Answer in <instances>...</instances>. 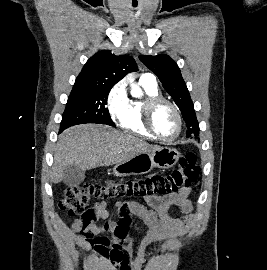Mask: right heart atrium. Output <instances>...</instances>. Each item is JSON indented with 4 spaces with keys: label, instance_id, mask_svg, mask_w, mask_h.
Wrapping results in <instances>:
<instances>
[{
    "label": "right heart atrium",
    "instance_id": "d8ad5b80",
    "mask_svg": "<svg viewBox=\"0 0 267 270\" xmlns=\"http://www.w3.org/2000/svg\"><path fill=\"white\" fill-rule=\"evenodd\" d=\"M129 99L125 82L116 83L108 92L106 106L109 116L114 121H119L125 114Z\"/></svg>",
    "mask_w": 267,
    "mask_h": 270
}]
</instances>
